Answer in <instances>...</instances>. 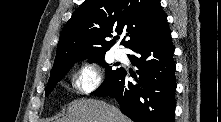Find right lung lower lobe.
<instances>
[{
    "instance_id": "1",
    "label": "right lung lower lobe",
    "mask_w": 221,
    "mask_h": 122,
    "mask_svg": "<svg viewBox=\"0 0 221 122\" xmlns=\"http://www.w3.org/2000/svg\"><path fill=\"white\" fill-rule=\"evenodd\" d=\"M131 50L137 54L128 55L139 69L137 83L127 81V72L122 68L96 95L115 98L122 113L134 122H174V46L167 21Z\"/></svg>"
}]
</instances>
